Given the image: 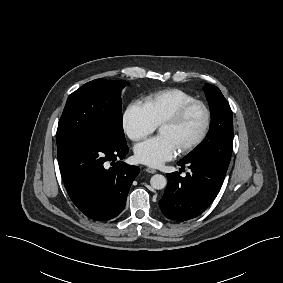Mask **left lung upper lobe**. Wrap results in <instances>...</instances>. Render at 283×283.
I'll return each mask as SVG.
<instances>
[{
    "instance_id": "1",
    "label": "left lung upper lobe",
    "mask_w": 283,
    "mask_h": 283,
    "mask_svg": "<svg viewBox=\"0 0 283 283\" xmlns=\"http://www.w3.org/2000/svg\"><path fill=\"white\" fill-rule=\"evenodd\" d=\"M203 89L212 115L210 131L182 160L208 159L228 167L233 149L232 111L219 88L206 84Z\"/></svg>"
}]
</instances>
